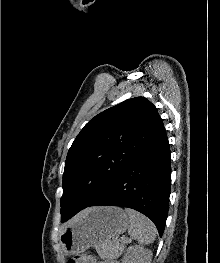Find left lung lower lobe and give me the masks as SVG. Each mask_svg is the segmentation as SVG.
I'll return each instance as SVG.
<instances>
[{
    "mask_svg": "<svg viewBox=\"0 0 220 263\" xmlns=\"http://www.w3.org/2000/svg\"><path fill=\"white\" fill-rule=\"evenodd\" d=\"M170 155L168 138L163 126L87 207L132 208L150 218L162 237L170 195ZM78 212L66 215L62 221H67Z\"/></svg>",
    "mask_w": 220,
    "mask_h": 263,
    "instance_id": "obj_1",
    "label": "left lung lower lobe"
}]
</instances>
